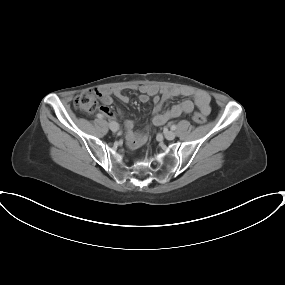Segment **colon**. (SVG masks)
Masks as SVG:
<instances>
[{
    "label": "colon",
    "instance_id": "obj_1",
    "mask_svg": "<svg viewBox=\"0 0 285 285\" xmlns=\"http://www.w3.org/2000/svg\"><path fill=\"white\" fill-rule=\"evenodd\" d=\"M99 99H101V92L98 90H87L78 95L74 100V106L85 113H92L98 107ZM193 119L198 124H204L207 121L205 114L202 112H195Z\"/></svg>",
    "mask_w": 285,
    "mask_h": 285
}]
</instances>
